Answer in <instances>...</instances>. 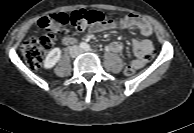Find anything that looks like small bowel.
I'll return each instance as SVG.
<instances>
[{"mask_svg":"<svg viewBox=\"0 0 194 133\" xmlns=\"http://www.w3.org/2000/svg\"><path fill=\"white\" fill-rule=\"evenodd\" d=\"M136 28L144 37L141 40L133 39L132 45L136 54V59L131 61V65L137 69L143 67L151 58L154 52V47L149 39L152 34L151 24L143 17L137 14H129L119 22L110 21L105 24L96 25L91 27V31L100 32L111 29H130ZM109 50L121 54L123 52V46L119 42H113L109 45Z\"/></svg>","mask_w":194,"mask_h":133,"instance_id":"1","label":"small bowel"}]
</instances>
